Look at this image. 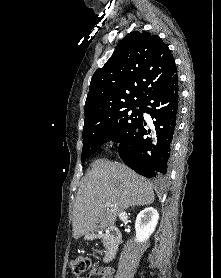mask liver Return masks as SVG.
Segmentation results:
<instances>
[{"instance_id": "1", "label": "liver", "mask_w": 221, "mask_h": 278, "mask_svg": "<svg viewBox=\"0 0 221 278\" xmlns=\"http://www.w3.org/2000/svg\"><path fill=\"white\" fill-rule=\"evenodd\" d=\"M91 167L74 204L75 239L113 225L128 207L150 205L155 199L152 185L126 165L98 159Z\"/></svg>"}]
</instances>
